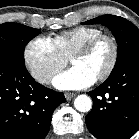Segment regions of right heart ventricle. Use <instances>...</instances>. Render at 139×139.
Wrapping results in <instances>:
<instances>
[{
    "label": "right heart ventricle",
    "mask_w": 139,
    "mask_h": 139,
    "mask_svg": "<svg viewBox=\"0 0 139 139\" xmlns=\"http://www.w3.org/2000/svg\"><path fill=\"white\" fill-rule=\"evenodd\" d=\"M101 33L102 30L97 27L78 26L61 32L51 40L61 54L68 58L72 56L75 50L82 44Z\"/></svg>",
    "instance_id": "e07e8e85"
}]
</instances>
